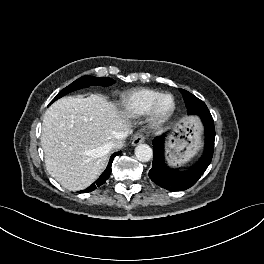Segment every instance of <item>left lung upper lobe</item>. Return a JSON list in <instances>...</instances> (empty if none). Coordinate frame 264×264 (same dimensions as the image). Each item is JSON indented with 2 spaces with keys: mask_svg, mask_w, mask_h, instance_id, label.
Instances as JSON below:
<instances>
[{
  "mask_svg": "<svg viewBox=\"0 0 264 264\" xmlns=\"http://www.w3.org/2000/svg\"><path fill=\"white\" fill-rule=\"evenodd\" d=\"M180 92L183 95L187 107V112L189 114H200L209 111L206 104L193 94L183 89H180Z\"/></svg>",
  "mask_w": 264,
  "mask_h": 264,
  "instance_id": "1",
  "label": "left lung upper lobe"
}]
</instances>
